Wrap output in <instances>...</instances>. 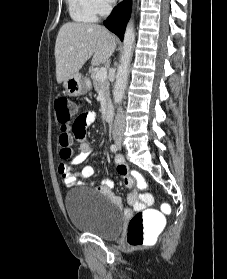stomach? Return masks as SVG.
<instances>
[{"label": "stomach", "instance_id": "0dacf381", "mask_svg": "<svg viewBox=\"0 0 227 279\" xmlns=\"http://www.w3.org/2000/svg\"><path fill=\"white\" fill-rule=\"evenodd\" d=\"M63 87L69 96L76 97L82 95L90 85L83 81L80 73H75L63 81Z\"/></svg>", "mask_w": 227, "mask_h": 279}]
</instances>
